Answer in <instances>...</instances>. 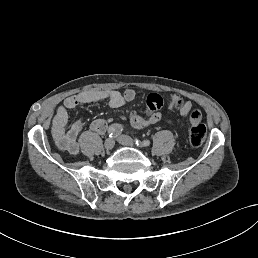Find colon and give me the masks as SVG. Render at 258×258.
<instances>
[{
  "label": "colon",
  "mask_w": 258,
  "mask_h": 258,
  "mask_svg": "<svg viewBox=\"0 0 258 258\" xmlns=\"http://www.w3.org/2000/svg\"><path fill=\"white\" fill-rule=\"evenodd\" d=\"M183 105L182 100L176 102V108H180ZM206 138V128L203 124L196 123L194 124L189 132V142L192 146H200L203 144Z\"/></svg>",
  "instance_id": "colon-1"
}]
</instances>
